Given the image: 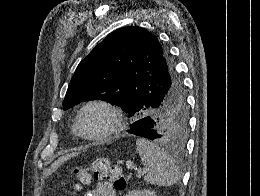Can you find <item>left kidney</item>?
Segmentation results:
<instances>
[{
    "label": "left kidney",
    "mask_w": 260,
    "mask_h": 196,
    "mask_svg": "<svg viewBox=\"0 0 260 196\" xmlns=\"http://www.w3.org/2000/svg\"><path fill=\"white\" fill-rule=\"evenodd\" d=\"M126 196H156V194L151 190H131Z\"/></svg>",
    "instance_id": "1"
}]
</instances>
